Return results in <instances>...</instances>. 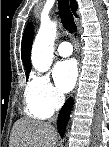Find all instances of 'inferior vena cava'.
Wrapping results in <instances>:
<instances>
[{"mask_svg": "<svg viewBox=\"0 0 109 147\" xmlns=\"http://www.w3.org/2000/svg\"><path fill=\"white\" fill-rule=\"evenodd\" d=\"M56 100H57V104H58V108L56 109V114H55V116H54L51 120H49V122H48V124H49L53 129H55V127L52 126L51 123H52V122H53V123H56V122H57L59 107L62 106V105L64 104V102H65V97H64L63 94H58V95L56 96Z\"/></svg>", "mask_w": 109, "mask_h": 147, "instance_id": "1", "label": "inferior vena cava"}]
</instances>
